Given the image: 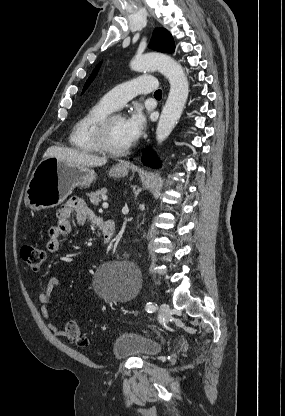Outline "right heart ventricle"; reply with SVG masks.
<instances>
[{
    "label": "right heart ventricle",
    "instance_id": "e07e8e85",
    "mask_svg": "<svg viewBox=\"0 0 285 416\" xmlns=\"http://www.w3.org/2000/svg\"><path fill=\"white\" fill-rule=\"evenodd\" d=\"M111 110L102 99L91 104L73 126L69 137L71 146L84 154L98 153L99 150L93 140V128Z\"/></svg>",
    "mask_w": 285,
    "mask_h": 416
}]
</instances>
